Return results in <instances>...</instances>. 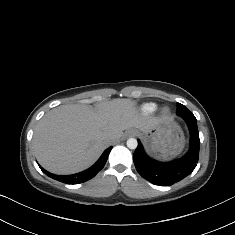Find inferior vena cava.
Masks as SVG:
<instances>
[{"mask_svg": "<svg viewBox=\"0 0 235 235\" xmlns=\"http://www.w3.org/2000/svg\"><path fill=\"white\" fill-rule=\"evenodd\" d=\"M109 139H110L111 141H114V140L119 139V136L109 137Z\"/></svg>", "mask_w": 235, "mask_h": 235, "instance_id": "1", "label": "inferior vena cava"}]
</instances>
